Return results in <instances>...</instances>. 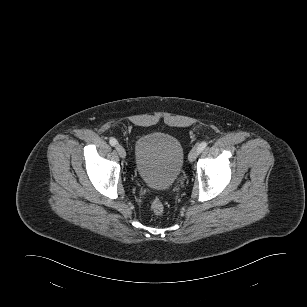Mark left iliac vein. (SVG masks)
Segmentation results:
<instances>
[{
    "label": "left iliac vein",
    "instance_id": "4c4485c4",
    "mask_svg": "<svg viewBox=\"0 0 307 307\" xmlns=\"http://www.w3.org/2000/svg\"><path fill=\"white\" fill-rule=\"evenodd\" d=\"M199 153L200 152L197 147L193 148L188 155V160L193 162L198 157Z\"/></svg>",
    "mask_w": 307,
    "mask_h": 307
}]
</instances>
